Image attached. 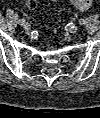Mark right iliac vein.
<instances>
[{"label":"right iliac vein","instance_id":"right-iliac-vein-1","mask_svg":"<svg viewBox=\"0 0 100 118\" xmlns=\"http://www.w3.org/2000/svg\"><path fill=\"white\" fill-rule=\"evenodd\" d=\"M25 30H26L27 32H29V31H30V28H29V27H26Z\"/></svg>","mask_w":100,"mask_h":118}]
</instances>
